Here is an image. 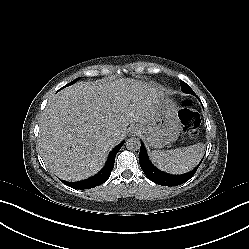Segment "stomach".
I'll return each mask as SVG.
<instances>
[{"instance_id": "stomach-1", "label": "stomach", "mask_w": 249, "mask_h": 249, "mask_svg": "<svg viewBox=\"0 0 249 249\" xmlns=\"http://www.w3.org/2000/svg\"><path fill=\"white\" fill-rule=\"evenodd\" d=\"M156 112L153 120L143 127V139L153 148H162L175 141L181 124L176 116L175 102L167 95L155 99Z\"/></svg>"}]
</instances>
